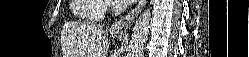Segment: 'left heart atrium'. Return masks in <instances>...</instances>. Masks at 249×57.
<instances>
[{
	"label": "left heart atrium",
	"mask_w": 249,
	"mask_h": 57,
	"mask_svg": "<svg viewBox=\"0 0 249 57\" xmlns=\"http://www.w3.org/2000/svg\"><path fill=\"white\" fill-rule=\"evenodd\" d=\"M121 3H130V0H120Z\"/></svg>",
	"instance_id": "left-heart-atrium-1"
}]
</instances>
